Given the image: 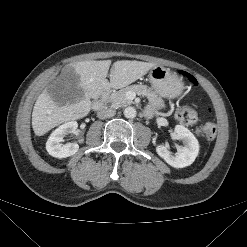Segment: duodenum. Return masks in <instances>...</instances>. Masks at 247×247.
<instances>
[{"label": "duodenum", "instance_id": "410a0bca", "mask_svg": "<svg viewBox=\"0 0 247 247\" xmlns=\"http://www.w3.org/2000/svg\"><path fill=\"white\" fill-rule=\"evenodd\" d=\"M110 92H111L110 87L105 89V91L102 93L101 97L93 103V109L94 110H100L104 107V103H105L106 98Z\"/></svg>", "mask_w": 247, "mask_h": 247}]
</instances>
